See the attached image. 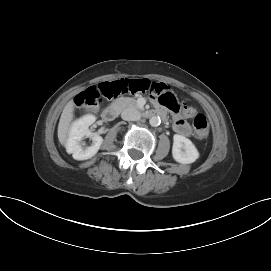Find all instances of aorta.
Listing matches in <instances>:
<instances>
[{
  "instance_id": "aorta-1",
  "label": "aorta",
  "mask_w": 271,
  "mask_h": 271,
  "mask_svg": "<svg viewBox=\"0 0 271 271\" xmlns=\"http://www.w3.org/2000/svg\"><path fill=\"white\" fill-rule=\"evenodd\" d=\"M149 123L153 127H156V126L160 125V123H161L160 117L159 116H152L149 119Z\"/></svg>"
}]
</instances>
